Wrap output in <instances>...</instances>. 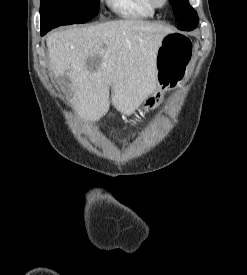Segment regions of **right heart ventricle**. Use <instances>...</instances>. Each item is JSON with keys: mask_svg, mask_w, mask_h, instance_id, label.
Listing matches in <instances>:
<instances>
[{"mask_svg": "<svg viewBox=\"0 0 247 275\" xmlns=\"http://www.w3.org/2000/svg\"><path fill=\"white\" fill-rule=\"evenodd\" d=\"M106 3L113 12L126 19L151 18L155 14L150 0H106Z\"/></svg>", "mask_w": 247, "mask_h": 275, "instance_id": "right-heart-ventricle-1", "label": "right heart ventricle"}]
</instances>
